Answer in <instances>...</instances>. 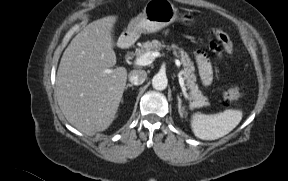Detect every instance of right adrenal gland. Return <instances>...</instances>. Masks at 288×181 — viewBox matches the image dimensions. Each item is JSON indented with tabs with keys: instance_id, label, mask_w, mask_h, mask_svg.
I'll return each instance as SVG.
<instances>
[{
	"instance_id": "obj_1",
	"label": "right adrenal gland",
	"mask_w": 288,
	"mask_h": 181,
	"mask_svg": "<svg viewBox=\"0 0 288 181\" xmlns=\"http://www.w3.org/2000/svg\"><path fill=\"white\" fill-rule=\"evenodd\" d=\"M128 87H133V84H127V85L125 86V89H127Z\"/></svg>"
}]
</instances>
